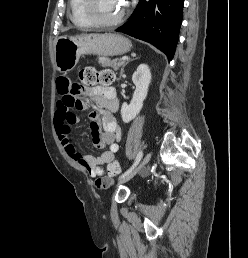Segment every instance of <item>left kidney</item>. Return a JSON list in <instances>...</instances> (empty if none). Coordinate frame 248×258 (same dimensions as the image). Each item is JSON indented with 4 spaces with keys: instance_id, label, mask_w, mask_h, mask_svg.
<instances>
[{
    "instance_id": "1",
    "label": "left kidney",
    "mask_w": 248,
    "mask_h": 258,
    "mask_svg": "<svg viewBox=\"0 0 248 258\" xmlns=\"http://www.w3.org/2000/svg\"><path fill=\"white\" fill-rule=\"evenodd\" d=\"M132 81L136 86L133 98L129 105L123 103L121 106V117L124 123H129L133 120L143 107V101L147 97L149 84L151 82L149 67L146 64L139 65L132 75Z\"/></svg>"
}]
</instances>
